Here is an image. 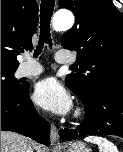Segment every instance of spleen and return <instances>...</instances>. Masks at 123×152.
Segmentation results:
<instances>
[{"mask_svg":"<svg viewBox=\"0 0 123 152\" xmlns=\"http://www.w3.org/2000/svg\"><path fill=\"white\" fill-rule=\"evenodd\" d=\"M85 141L98 145L100 152H118L117 147L106 138L100 136H88Z\"/></svg>","mask_w":123,"mask_h":152,"instance_id":"spleen-1","label":"spleen"}]
</instances>
